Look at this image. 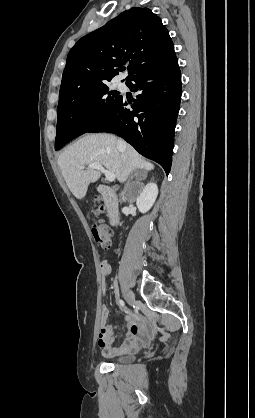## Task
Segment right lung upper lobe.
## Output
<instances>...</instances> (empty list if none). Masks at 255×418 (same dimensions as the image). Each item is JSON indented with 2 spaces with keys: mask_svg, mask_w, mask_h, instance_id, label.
I'll return each instance as SVG.
<instances>
[{
  "mask_svg": "<svg viewBox=\"0 0 255 418\" xmlns=\"http://www.w3.org/2000/svg\"><path fill=\"white\" fill-rule=\"evenodd\" d=\"M175 56L161 19L148 8L134 7L75 44L67 56L59 93L111 81L126 62L131 68L129 81Z\"/></svg>",
  "mask_w": 255,
  "mask_h": 418,
  "instance_id": "cb5924a9",
  "label": "right lung upper lobe"
}]
</instances>
